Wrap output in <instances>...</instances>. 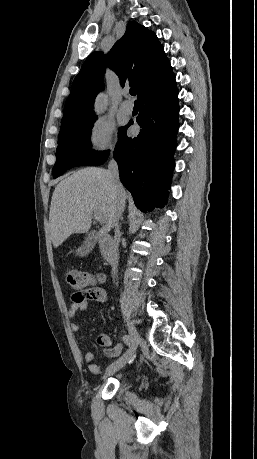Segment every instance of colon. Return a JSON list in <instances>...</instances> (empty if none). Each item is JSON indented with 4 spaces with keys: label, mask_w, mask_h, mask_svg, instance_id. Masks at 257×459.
Masks as SVG:
<instances>
[{
    "label": "colon",
    "mask_w": 257,
    "mask_h": 459,
    "mask_svg": "<svg viewBox=\"0 0 257 459\" xmlns=\"http://www.w3.org/2000/svg\"><path fill=\"white\" fill-rule=\"evenodd\" d=\"M64 276L66 283L76 290L75 299L77 301H81L88 296V285L96 279L89 272L76 268L66 269Z\"/></svg>",
    "instance_id": "obj_1"
}]
</instances>
